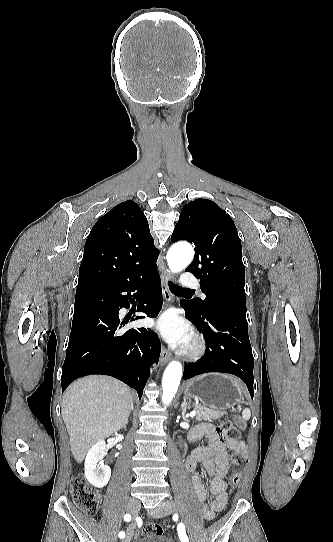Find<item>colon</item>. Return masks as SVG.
I'll list each match as a JSON object with an SVG mask.
<instances>
[{"instance_id":"1","label":"colon","mask_w":333,"mask_h":542,"mask_svg":"<svg viewBox=\"0 0 333 542\" xmlns=\"http://www.w3.org/2000/svg\"><path fill=\"white\" fill-rule=\"evenodd\" d=\"M245 431V424L241 420L234 422H220L216 428V436L223 442H236ZM231 457L234 460L233 468L229 475V484L236 487L239 484L242 470L247 463V457L242 449H233ZM224 495H228L224 492ZM72 498L75 505L89 515L96 514L100 499L97 490L84 478L76 477L72 480ZM146 537H157L162 534V527L158 523L149 522L143 528Z\"/></svg>"}]
</instances>
